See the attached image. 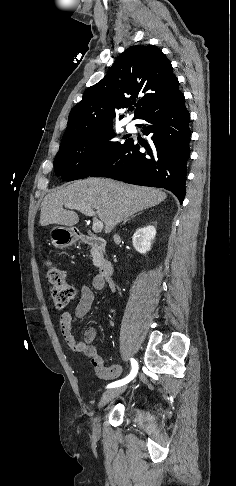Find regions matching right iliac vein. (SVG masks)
I'll use <instances>...</instances> for the list:
<instances>
[{"label": "right iliac vein", "instance_id": "obj_1", "mask_svg": "<svg viewBox=\"0 0 236 486\" xmlns=\"http://www.w3.org/2000/svg\"><path fill=\"white\" fill-rule=\"evenodd\" d=\"M125 390H126V386H121V387L109 389L106 392H104L98 403V409L101 410L106 404H108L112 399L121 395ZM93 431L96 436H100L101 426H100L99 416L93 419Z\"/></svg>", "mask_w": 236, "mask_h": 486}]
</instances>
